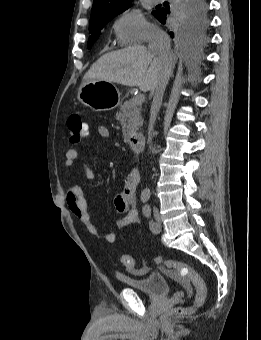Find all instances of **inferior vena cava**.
<instances>
[{
    "label": "inferior vena cava",
    "mask_w": 261,
    "mask_h": 340,
    "mask_svg": "<svg viewBox=\"0 0 261 340\" xmlns=\"http://www.w3.org/2000/svg\"><path fill=\"white\" fill-rule=\"evenodd\" d=\"M148 49L154 52L161 58H168L171 55L170 38L159 28H153L148 37ZM171 74V69H167L160 77L155 89L152 91L153 101L151 105V115L148 126V144L151 149L152 131L156 120L157 113L159 112L162 104L163 95Z\"/></svg>",
    "instance_id": "obj_1"
}]
</instances>
